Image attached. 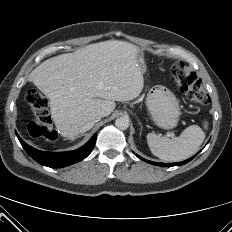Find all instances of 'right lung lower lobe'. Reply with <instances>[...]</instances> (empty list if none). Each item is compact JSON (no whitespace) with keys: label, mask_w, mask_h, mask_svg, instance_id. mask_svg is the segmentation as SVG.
I'll list each match as a JSON object with an SVG mask.
<instances>
[{"label":"right lung lower lobe","mask_w":232,"mask_h":232,"mask_svg":"<svg viewBox=\"0 0 232 232\" xmlns=\"http://www.w3.org/2000/svg\"><path fill=\"white\" fill-rule=\"evenodd\" d=\"M21 145L25 151L38 163L52 167V168H61L74 163L81 161L86 158L91 150L93 149L97 134H95L91 140L83 147L76 151L71 152H43L36 150L35 148L27 145L19 136L16 134Z\"/></svg>","instance_id":"obj_1"}]
</instances>
